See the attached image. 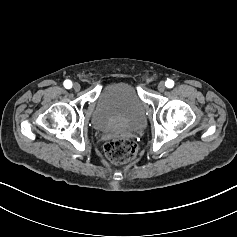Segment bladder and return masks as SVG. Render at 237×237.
<instances>
[{
	"mask_svg": "<svg viewBox=\"0 0 237 237\" xmlns=\"http://www.w3.org/2000/svg\"><path fill=\"white\" fill-rule=\"evenodd\" d=\"M145 120L146 104L132 83L119 81L101 90L92 117L96 129H138Z\"/></svg>",
	"mask_w": 237,
	"mask_h": 237,
	"instance_id": "31cf9c89",
	"label": "bladder"
}]
</instances>
